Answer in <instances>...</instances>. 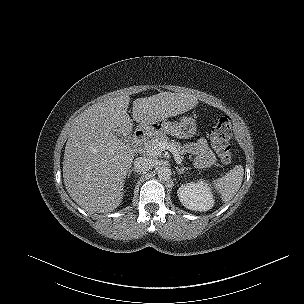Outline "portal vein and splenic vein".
<instances>
[{
    "instance_id": "portal-vein-and-splenic-vein-1",
    "label": "portal vein and splenic vein",
    "mask_w": 304,
    "mask_h": 304,
    "mask_svg": "<svg viewBox=\"0 0 304 304\" xmlns=\"http://www.w3.org/2000/svg\"><path fill=\"white\" fill-rule=\"evenodd\" d=\"M166 149L173 150V148H171L167 143L158 142L154 146L147 149L146 152L149 156H156V155H159L162 151H164ZM173 154L175 156V160L179 161L180 160L179 154L176 151H173Z\"/></svg>"
}]
</instances>
